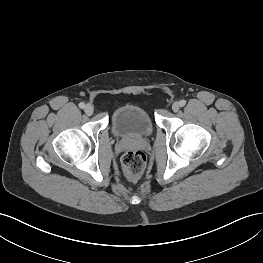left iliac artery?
I'll list each match as a JSON object with an SVG mask.
<instances>
[{
	"mask_svg": "<svg viewBox=\"0 0 263 263\" xmlns=\"http://www.w3.org/2000/svg\"><path fill=\"white\" fill-rule=\"evenodd\" d=\"M179 104H180L181 107H183V106H185L186 101H185V100H181V101L179 102Z\"/></svg>",
	"mask_w": 263,
	"mask_h": 263,
	"instance_id": "left-iliac-artery-1",
	"label": "left iliac artery"
}]
</instances>
